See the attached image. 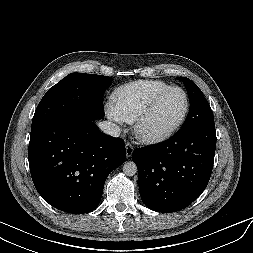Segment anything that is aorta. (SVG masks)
<instances>
[{
    "label": "aorta",
    "instance_id": "1",
    "mask_svg": "<svg viewBox=\"0 0 253 253\" xmlns=\"http://www.w3.org/2000/svg\"><path fill=\"white\" fill-rule=\"evenodd\" d=\"M123 173L126 176H133L137 173V166L133 161L125 162L123 165Z\"/></svg>",
    "mask_w": 253,
    "mask_h": 253
}]
</instances>
